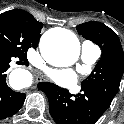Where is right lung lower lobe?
I'll return each instance as SVG.
<instances>
[{"label":"right lung lower lobe","instance_id":"obj_1","mask_svg":"<svg viewBox=\"0 0 124 124\" xmlns=\"http://www.w3.org/2000/svg\"><path fill=\"white\" fill-rule=\"evenodd\" d=\"M13 57L0 53V119L14 115L23 105L26 95L10 89L6 83L7 70Z\"/></svg>","mask_w":124,"mask_h":124}]
</instances>
